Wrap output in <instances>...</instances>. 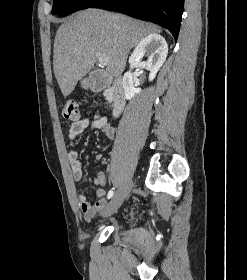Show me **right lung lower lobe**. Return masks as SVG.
Listing matches in <instances>:
<instances>
[{
    "mask_svg": "<svg viewBox=\"0 0 247 280\" xmlns=\"http://www.w3.org/2000/svg\"><path fill=\"white\" fill-rule=\"evenodd\" d=\"M91 7L114 10L158 23L167 28L177 40L184 0H99Z\"/></svg>",
    "mask_w": 247,
    "mask_h": 280,
    "instance_id": "obj_1",
    "label": "right lung lower lobe"
}]
</instances>
